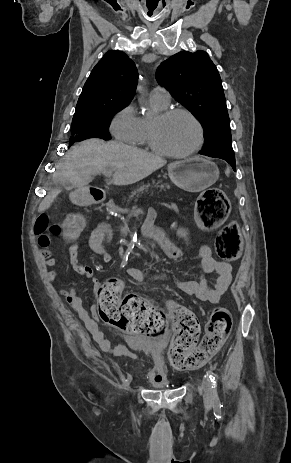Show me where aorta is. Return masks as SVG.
<instances>
[{
	"label": "aorta",
	"instance_id": "obj_1",
	"mask_svg": "<svg viewBox=\"0 0 291 463\" xmlns=\"http://www.w3.org/2000/svg\"><path fill=\"white\" fill-rule=\"evenodd\" d=\"M138 89H139V91L143 92V88H142V87H139Z\"/></svg>",
	"mask_w": 291,
	"mask_h": 463
}]
</instances>
